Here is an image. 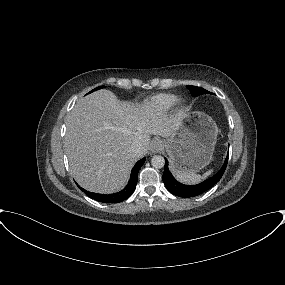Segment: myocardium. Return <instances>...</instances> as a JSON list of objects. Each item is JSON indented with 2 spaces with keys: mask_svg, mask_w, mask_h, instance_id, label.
I'll return each mask as SVG.
<instances>
[{
  "mask_svg": "<svg viewBox=\"0 0 285 285\" xmlns=\"http://www.w3.org/2000/svg\"><path fill=\"white\" fill-rule=\"evenodd\" d=\"M176 104L179 105V106H182L183 105V101L181 99H178L176 101Z\"/></svg>",
  "mask_w": 285,
  "mask_h": 285,
  "instance_id": "obj_1",
  "label": "myocardium"
}]
</instances>
